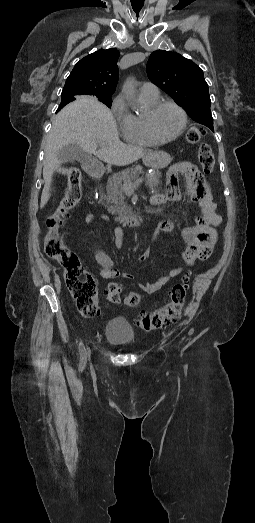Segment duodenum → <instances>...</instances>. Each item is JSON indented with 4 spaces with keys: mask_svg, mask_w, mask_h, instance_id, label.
I'll return each instance as SVG.
<instances>
[{
    "mask_svg": "<svg viewBox=\"0 0 255 523\" xmlns=\"http://www.w3.org/2000/svg\"><path fill=\"white\" fill-rule=\"evenodd\" d=\"M84 169L94 179H100L105 172L103 163L95 158L87 159L84 162ZM122 221L129 226H139L144 224L146 219L139 216H129L123 218Z\"/></svg>",
    "mask_w": 255,
    "mask_h": 523,
    "instance_id": "duodenum-1",
    "label": "duodenum"
}]
</instances>
